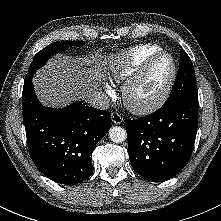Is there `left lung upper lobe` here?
I'll use <instances>...</instances> for the list:
<instances>
[{
    "instance_id": "1",
    "label": "left lung upper lobe",
    "mask_w": 221,
    "mask_h": 221,
    "mask_svg": "<svg viewBox=\"0 0 221 221\" xmlns=\"http://www.w3.org/2000/svg\"><path fill=\"white\" fill-rule=\"evenodd\" d=\"M184 96H198V91L192 61L184 50H180L178 73L165 104Z\"/></svg>"
}]
</instances>
